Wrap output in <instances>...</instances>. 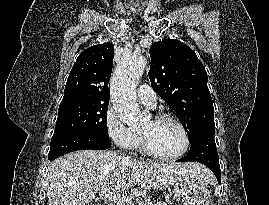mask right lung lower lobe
I'll list each match as a JSON object with an SVG mask.
<instances>
[{
  "label": "right lung lower lobe",
  "instance_id": "obj_1",
  "mask_svg": "<svg viewBox=\"0 0 269 205\" xmlns=\"http://www.w3.org/2000/svg\"><path fill=\"white\" fill-rule=\"evenodd\" d=\"M111 146L109 139L84 132L68 131L55 133L51 139L48 154L50 161L69 152L82 149H108Z\"/></svg>",
  "mask_w": 269,
  "mask_h": 205
}]
</instances>
